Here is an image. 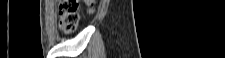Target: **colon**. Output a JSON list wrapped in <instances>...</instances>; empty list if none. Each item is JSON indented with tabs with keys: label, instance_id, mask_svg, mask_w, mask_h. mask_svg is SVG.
Instances as JSON below:
<instances>
[{
	"label": "colon",
	"instance_id": "5ec220e1",
	"mask_svg": "<svg viewBox=\"0 0 225 58\" xmlns=\"http://www.w3.org/2000/svg\"><path fill=\"white\" fill-rule=\"evenodd\" d=\"M78 6L76 0H62L60 3V26L66 33L74 32L79 26Z\"/></svg>",
	"mask_w": 225,
	"mask_h": 58
}]
</instances>
